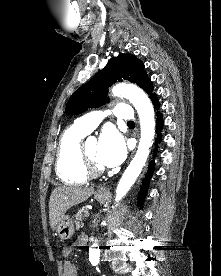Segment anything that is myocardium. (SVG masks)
<instances>
[{
  "label": "myocardium",
  "instance_id": "1",
  "mask_svg": "<svg viewBox=\"0 0 221 276\" xmlns=\"http://www.w3.org/2000/svg\"><path fill=\"white\" fill-rule=\"evenodd\" d=\"M81 155L86 172L89 176L97 177L104 172V168L97 165L96 162L88 156L85 147H81Z\"/></svg>",
  "mask_w": 221,
  "mask_h": 276
}]
</instances>
